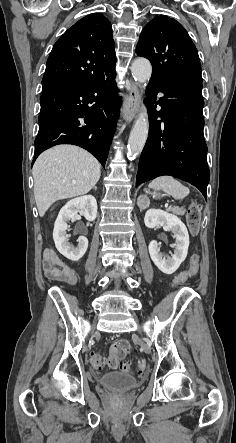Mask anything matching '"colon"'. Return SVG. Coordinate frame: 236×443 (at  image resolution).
Listing matches in <instances>:
<instances>
[{
  "label": "colon",
  "instance_id": "colon-1",
  "mask_svg": "<svg viewBox=\"0 0 236 443\" xmlns=\"http://www.w3.org/2000/svg\"><path fill=\"white\" fill-rule=\"evenodd\" d=\"M201 205L199 203H192L187 211L186 222L192 235H197L200 229ZM199 255L193 253L190 257V267L188 270L182 272L175 280V285H178L188 278L194 276L198 272ZM131 351V344L127 339L115 340L109 349V356L105 359L100 353H93L91 355V364L95 369L101 370L105 367L110 369H130V363L126 361V356ZM147 369L146 363L140 361L138 365L139 372H144Z\"/></svg>",
  "mask_w": 236,
  "mask_h": 443
}]
</instances>
